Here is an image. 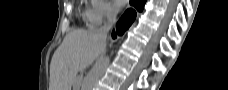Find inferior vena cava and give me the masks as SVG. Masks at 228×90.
<instances>
[{
	"instance_id": "1",
	"label": "inferior vena cava",
	"mask_w": 228,
	"mask_h": 90,
	"mask_svg": "<svg viewBox=\"0 0 228 90\" xmlns=\"http://www.w3.org/2000/svg\"><path fill=\"white\" fill-rule=\"evenodd\" d=\"M116 14L117 11L116 9L109 7L107 10V22L98 30H96V32L103 38L107 37V33L109 32V30L111 29L112 25L115 23L116 21Z\"/></svg>"
}]
</instances>
